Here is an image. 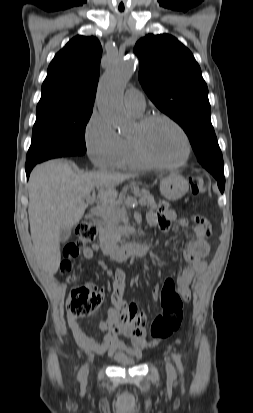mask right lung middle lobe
<instances>
[{
  "label": "right lung middle lobe",
  "instance_id": "right-lung-middle-lobe-1",
  "mask_svg": "<svg viewBox=\"0 0 253 413\" xmlns=\"http://www.w3.org/2000/svg\"><path fill=\"white\" fill-rule=\"evenodd\" d=\"M92 110H56L36 114L26 165L65 156L84 155L85 127Z\"/></svg>",
  "mask_w": 253,
  "mask_h": 413
}]
</instances>
